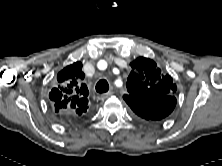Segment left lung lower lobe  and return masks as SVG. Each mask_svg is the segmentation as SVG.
I'll return each instance as SVG.
<instances>
[{
  "label": "left lung lower lobe",
  "instance_id": "left-lung-lower-lobe-1",
  "mask_svg": "<svg viewBox=\"0 0 222 166\" xmlns=\"http://www.w3.org/2000/svg\"><path fill=\"white\" fill-rule=\"evenodd\" d=\"M162 105L159 106V110L152 109L150 113H139L141 115L138 116L136 115L139 119L144 120V121H160L167 117L175 108L176 105V98L174 96H166L165 98L162 99Z\"/></svg>",
  "mask_w": 222,
  "mask_h": 166
}]
</instances>
